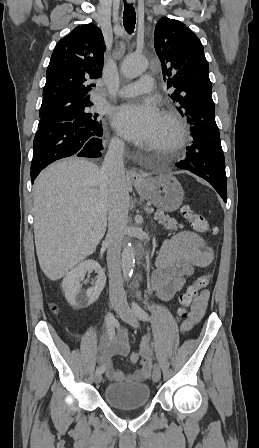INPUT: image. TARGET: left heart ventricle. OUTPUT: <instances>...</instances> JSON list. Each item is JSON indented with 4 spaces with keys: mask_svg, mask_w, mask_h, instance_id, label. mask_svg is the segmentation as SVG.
<instances>
[{
    "mask_svg": "<svg viewBox=\"0 0 259 448\" xmlns=\"http://www.w3.org/2000/svg\"><path fill=\"white\" fill-rule=\"evenodd\" d=\"M172 127L161 119L157 129L150 135L151 146L161 150L172 138Z\"/></svg>",
    "mask_w": 259,
    "mask_h": 448,
    "instance_id": "1",
    "label": "left heart ventricle"
}]
</instances>
